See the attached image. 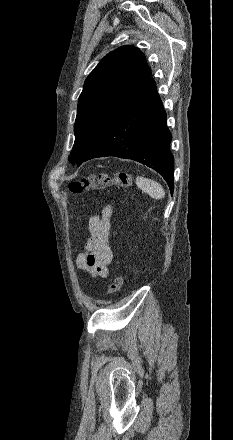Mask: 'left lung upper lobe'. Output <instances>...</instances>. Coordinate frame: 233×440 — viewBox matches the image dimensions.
<instances>
[{"label": "left lung upper lobe", "mask_w": 233, "mask_h": 440, "mask_svg": "<svg viewBox=\"0 0 233 440\" xmlns=\"http://www.w3.org/2000/svg\"><path fill=\"white\" fill-rule=\"evenodd\" d=\"M150 78L144 54L132 46H122L99 62L85 80L78 100L71 163L80 165L86 159Z\"/></svg>", "instance_id": "1"}]
</instances>
